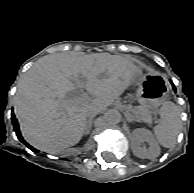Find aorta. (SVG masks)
Here are the masks:
<instances>
[{"label": "aorta", "mask_w": 194, "mask_h": 193, "mask_svg": "<svg viewBox=\"0 0 194 193\" xmlns=\"http://www.w3.org/2000/svg\"><path fill=\"white\" fill-rule=\"evenodd\" d=\"M104 118L108 124L113 125V124H117L121 121V114L119 113V111L112 109V110H109L105 113Z\"/></svg>", "instance_id": "aorta-1"}]
</instances>
